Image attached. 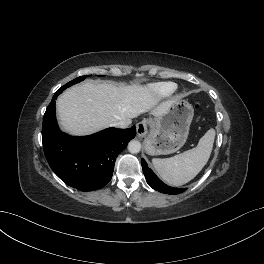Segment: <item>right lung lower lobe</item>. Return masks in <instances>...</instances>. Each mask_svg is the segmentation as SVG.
I'll return each mask as SVG.
<instances>
[{
  "instance_id": "obj_1",
  "label": "right lung lower lobe",
  "mask_w": 264,
  "mask_h": 264,
  "mask_svg": "<svg viewBox=\"0 0 264 264\" xmlns=\"http://www.w3.org/2000/svg\"><path fill=\"white\" fill-rule=\"evenodd\" d=\"M57 91L43 117L42 143L54 173L80 191L104 187L112 178L116 158L136 135V128H108L85 137L62 133L55 117Z\"/></svg>"
}]
</instances>
